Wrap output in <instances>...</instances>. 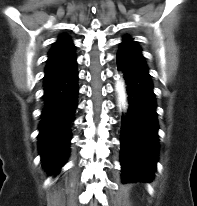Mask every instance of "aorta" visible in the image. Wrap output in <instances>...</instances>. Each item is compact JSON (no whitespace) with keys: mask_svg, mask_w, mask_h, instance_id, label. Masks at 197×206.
I'll return each instance as SVG.
<instances>
[{"mask_svg":"<svg viewBox=\"0 0 197 206\" xmlns=\"http://www.w3.org/2000/svg\"><path fill=\"white\" fill-rule=\"evenodd\" d=\"M116 91L118 93V103L121 110L126 109V94H125V88L124 83L120 77V75H116Z\"/></svg>","mask_w":197,"mask_h":206,"instance_id":"obj_1","label":"aorta"}]
</instances>
